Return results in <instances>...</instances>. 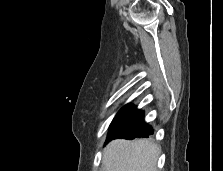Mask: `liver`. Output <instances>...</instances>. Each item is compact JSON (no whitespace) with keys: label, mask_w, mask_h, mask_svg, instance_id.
<instances>
[{"label":"liver","mask_w":223,"mask_h":171,"mask_svg":"<svg viewBox=\"0 0 223 171\" xmlns=\"http://www.w3.org/2000/svg\"><path fill=\"white\" fill-rule=\"evenodd\" d=\"M161 148L150 140H113L104 152V171H157Z\"/></svg>","instance_id":"obj_1"}]
</instances>
